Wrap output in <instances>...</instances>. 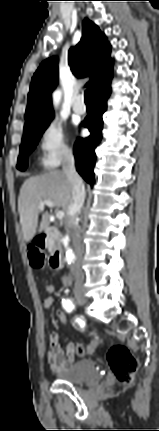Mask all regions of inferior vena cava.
<instances>
[{
	"label": "inferior vena cava",
	"mask_w": 159,
	"mask_h": 431,
	"mask_svg": "<svg viewBox=\"0 0 159 431\" xmlns=\"http://www.w3.org/2000/svg\"><path fill=\"white\" fill-rule=\"evenodd\" d=\"M63 171L67 175L72 184V202L68 209V219L66 220V230L70 233L72 246L77 256V262L72 267V274L75 278V292L82 290L83 272L79 265V260L82 257L83 249L81 236L78 229V215L85 200V187L81 177L75 169V159L71 151H69L63 161Z\"/></svg>",
	"instance_id": "inferior-vena-cava-1"
}]
</instances>
